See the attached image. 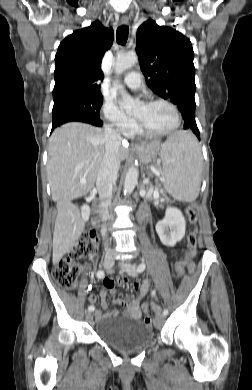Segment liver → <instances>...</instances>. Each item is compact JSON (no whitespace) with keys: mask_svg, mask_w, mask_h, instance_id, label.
<instances>
[{"mask_svg":"<svg viewBox=\"0 0 252 390\" xmlns=\"http://www.w3.org/2000/svg\"><path fill=\"white\" fill-rule=\"evenodd\" d=\"M106 141L105 130L79 122L56 128L49 139L47 177L58 210L53 234L54 263L72 250L84 231L85 223L72 200L93 189ZM128 155V146L120 145V161ZM81 180L86 183L81 184Z\"/></svg>","mask_w":252,"mask_h":390,"instance_id":"1","label":"liver"}]
</instances>
